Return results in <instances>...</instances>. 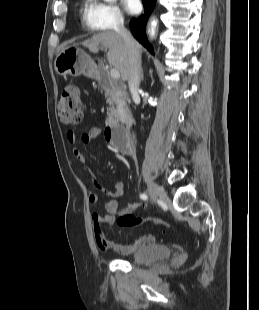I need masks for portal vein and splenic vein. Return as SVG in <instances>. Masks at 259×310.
Instances as JSON below:
<instances>
[{"mask_svg": "<svg viewBox=\"0 0 259 310\" xmlns=\"http://www.w3.org/2000/svg\"><path fill=\"white\" fill-rule=\"evenodd\" d=\"M110 75L113 79H119L120 78V73H119L118 69H116V68H112L110 70Z\"/></svg>", "mask_w": 259, "mask_h": 310, "instance_id": "portal-vein-and-splenic-vein-1", "label": "portal vein and splenic vein"}]
</instances>
